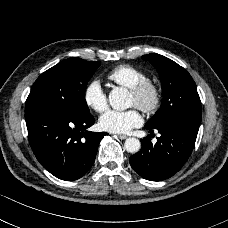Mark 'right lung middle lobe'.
<instances>
[{
    "label": "right lung middle lobe",
    "instance_id": "obj_1",
    "mask_svg": "<svg viewBox=\"0 0 228 228\" xmlns=\"http://www.w3.org/2000/svg\"><path fill=\"white\" fill-rule=\"evenodd\" d=\"M99 65L98 61L69 58L48 69L33 84L25 112L54 107L79 116L90 115L85 88Z\"/></svg>",
    "mask_w": 228,
    "mask_h": 228
}]
</instances>
